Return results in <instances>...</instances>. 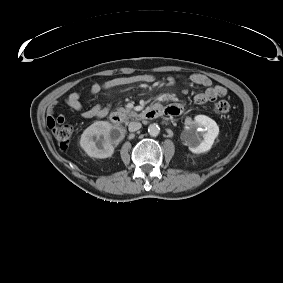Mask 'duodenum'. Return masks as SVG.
<instances>
[{
  "instance_id": "410a0bca",
  "label": "duodenum",
  "mask_w": 283,
  "mask_h": 283,
  "mask_svg": "<svg viewBox=\"0 0 283 283\" xmlns=\"http://www.w3.org/2000/svg\"><path fill=\"white\" fill-rule=\"evenodd\" d=\"M163 114V109L158 106V105H154L151 108L147 109L143 114H142V118L143 119H153L156 117H159ZM109 121L116 126H119L122 124L123 122V115L120 114L119 112H112L109 115Z\"/></svg>"
}]
</instances>
